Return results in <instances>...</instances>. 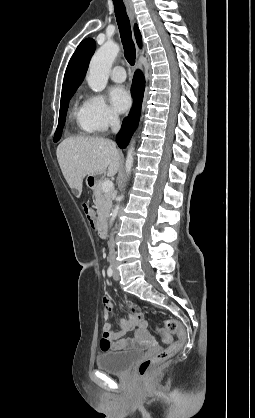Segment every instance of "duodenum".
I'll return each mask as SVG.
<instances>
[{
    "mask_svg": "<svg viewBox=\"0 0 255 418\" xmlns=\"http://www.w3.org/2000/svg\"><path fill=\"white\" fill-rule=\"evenodd\" d=\"M97 234L100 238H104L107 235V220L104 217L98 223Z\"/></svg>",
    "mask_w": 255,
    "mask_h": 418,
    "instance_id": "duodenum-1",
    "label": "duodenum"
}]
</instances>
